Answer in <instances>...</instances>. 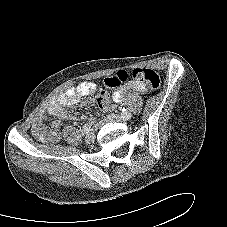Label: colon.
Returning a JSON list of instances; mask_svg holds the SVG:
<instances>
[{"mask_svg":"<svg viewBox=\"0 0 227 227\" xmlns=\"http://www.w3.org/2000/svg\"><path fill=\"white\" fill-rule=\"evenodd\" d=\"M132 77L143 83L148 89L157 90L160 87L161 79L159 74L149 68H136L132 71ZM128 78L126 71H118L114 75L107 77L104 81L105 90L97 95V103L101 108L106 107L108 104L109 95L106 89H111L124 83Z\"/></svg>","mask_w":227,"mask_h":227,"instance_id":"obj_1","label":"colon"}]
</instances>
